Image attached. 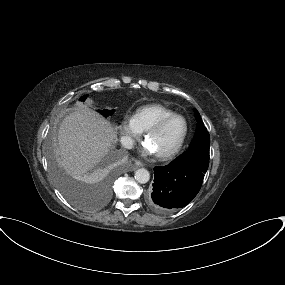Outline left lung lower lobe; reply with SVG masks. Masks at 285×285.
<instances>
[{
    "mask_svg": "<svg viewBox=\"0 0 285 285\" xmlns=\"http://www.w3.org/2000/svg\"><path fill=\"white\" fill-rule=\"evenodd\" d=\"M154 170L148 204L161 213L185 207L199 192L205 175L195 168L172 163Z\"/></svg>",
    "mask_w": 285,
    "mask_h": 285,
    "instance_id": "obj_1",
    "label": "left lung lower lobe"
}]
</instances>
